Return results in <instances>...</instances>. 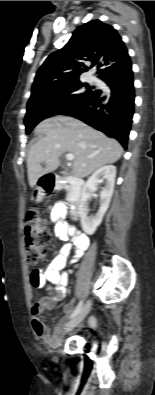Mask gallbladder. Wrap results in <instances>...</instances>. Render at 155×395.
Instances as JSON below:
<instances>
[{
	"label": "gallbladder",
	"mask_w": 155,
	"mask_h": 395,
	"mask_svg": "<svg viewBox=\"0 0 155 395\" xmlns=\"http://www.w3.org/2000/svg\"><path fill=\"white\" fill-rule=\"evenodd\" d=\"M61 174L68 175V174H70V171H62Z\"/></svg>",
	"instance_id": "bac80fb5"
}]
</instances>
